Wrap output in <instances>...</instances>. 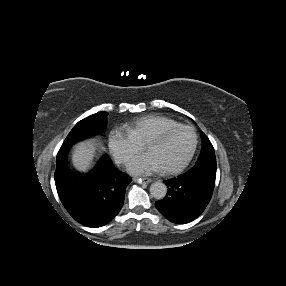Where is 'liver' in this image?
<instances>
[{
  "label": "liver",
  "instance_id": "1",
  "mask_svg": "<svg viewBox=\"0 0 286 286\" xmlns=\"http://www.w3.org/2000/svg\"><path fill=\"white\" fill-rule=\"evenodd\" d=\"M93 141L81 142L75 146L72 154L74 166L80 171H86L92 162L93 154L96 150Z\"/></svg>",
  "mask_w": 286,
  "mask_h": 286
}]
</instances>
